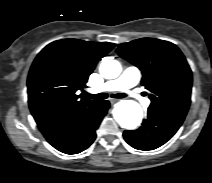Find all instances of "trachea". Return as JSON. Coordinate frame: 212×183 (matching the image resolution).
Returning a JSON list of instances; mask_svg holds the SVG:
<instances>
[{"mask_svg": "<svg viewBox=\"0 0 212 183\" xmlns=\"http://www.w3.org/2000/svg\"><path fill=\"white\" fill-rule=\"evenodd\" d=\"M86 97L90 98V99H94V100H103L108 98V94L106 93H99V94H89V93H85ZM112 98H124L127 97L126 94L124 93H117V94H112L111 95Z\"/></svg>", "mask_w": 212, "mask_h": 183, "instance_id": "trachea-1", "label": "trachea"}]
</instances>
